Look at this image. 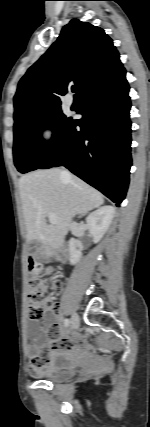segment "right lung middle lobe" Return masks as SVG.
Returning a JSON list of instances; mask_svg holds the SVG:
<instances>
[{
  "instance_id": "obj_1",
  "label": "right lung middle lobe",
  "mask_w": 150,
  "mask_h": 427,
  "mask_svg": "<svg viewBox=\"0 0 150 427\" xmlns=\"http://www.w3.org/2000/svg\"><path fill=\"white\" fill-rule=\"evenodd\" d=\"M70 120L61 107L56 106L15 122L13 156L18 171L26 173L37 169L52 152ZM48 127L53 130V137L45 142L41 131Z\"/></svg>"
}]
</instances>
